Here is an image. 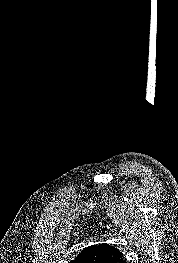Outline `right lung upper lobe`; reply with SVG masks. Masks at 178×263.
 I'll use <instances>...</instances> for the list:
<instances>
[{"instance_id":"1","label":"right lung upper lobe","mask_w":178,"mask_h":263,"mask_svg":"<svg viewBox=\"0 0 178 263\" xmlns=\"http://www.w3.org/2000/svg\"><path fill=\"white\" fill-rule=\"evenodd\" d=\"M70 263H127L123 253L109 244L87 247Z\"/></svg>"}]
</instances>
